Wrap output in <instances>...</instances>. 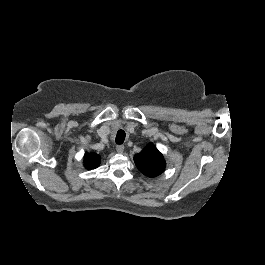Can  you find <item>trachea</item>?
I'll use <instances>...</instances> for the list:
<instances>
[{
	"label": "trachea",
	"instance_id": "obj_1",
	"mask_svg": "<svg viewBox=\"0 0 265 265\" xmlns=\"http://www.w3.org/2000/svg\"><path fill=\"white\" fill-rule=\"evenodd\" d=\"M125 137H126V134H125L124 130H119V131L117 132L115 142H116L118 145H121V144L124 142Z\"/></svg>",
	"mask_w": 265,
	"mask_h": 265
}]
</instances>
